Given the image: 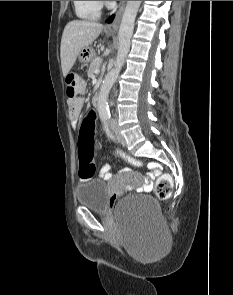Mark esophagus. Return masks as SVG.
Returning a JSON list of instances; mask_svg holds the SVG:
<instances>
[{"label": "esophagus", "mask_w": 233, "mask_h": 295, "mask_svg": "<svg viewBox=\"0 0 233 295\" xmlns=\"http://www.w3.org/2000/svg\"><path fill=\"white\" fill-rule=\"evenodd\" d=\"M124 7H125V1L122 2V5L120 6L118 11L116 12L113 21L106 25V27H105L106 31H108V32H116L118 30L121 15H122V12L124 10Z\"/></svg>", "instance_id": "1"}]
</instances>
